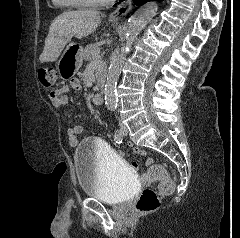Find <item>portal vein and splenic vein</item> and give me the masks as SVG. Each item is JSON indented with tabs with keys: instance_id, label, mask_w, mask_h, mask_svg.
Segmentation results:
<instances>
[{
	"instance_id": "portal-vein-and-splenic-vein-1",
	"label": "portal vein and splenic vein",
	"mask_w": 240,
	"mask_h": 238,
	"mask_svg": "<svg viewBox=\"0 0 240 238\" xmlns=\"http://www.w3.org/2000/svg\"><path fill=\"white\" fill-rule=\"evenodd\" d=\"M93 59H94L95 61H97V62H100V61H101V57H100V55H99L98 53H94V54H93Z\"/></svg>"
}]
</instances>
